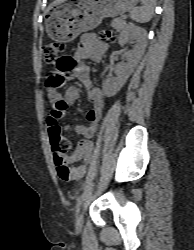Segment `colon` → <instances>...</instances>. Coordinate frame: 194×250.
Here are the masks:
<instances>
[{
	"mask_svg": "<svg viewBox=\"0 0 194 250\" xmlns=\"http://www.w3.org/2000/svg\"><path fill=\"white\" fill-rule=\"evenodd\" d=\"M104 39L112 41L114 39V34L107 30L101 33ZM64 50V43L62 42H51L46 44L42 48V55L44 60L50 64H59L60 72L51 71L48 74L46 85L52 89H58L63 85L64 80L66 79L64 76V64L65 60L61 57V53ZM59 107H64L62 101L57 103ZM51 138V146L54 155V161L57 167L58 175L61 179L68 180L71 177V171L65 162V155L71 151L70 142L63 137L61 134H55L50 136Z\"/></svg>",
	"mask_w": 194,
	"mask_h": 250,
	"instance_id": "1",
	"label": "colon"
}]
</instances>
